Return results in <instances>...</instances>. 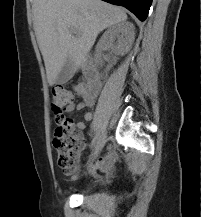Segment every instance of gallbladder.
I'll return each mask as SVG.
<instances>
[{
    "mask_svg": "<svg viewBox=\"0 0 202 217\" xmlns=\"http://www.w3.org/2000/svg\"><path fill=\"white\" fill-rule=\"evenodd\" d=\"M76 67L72 58L68 57L57 75L55 84L63 85L67 83L75 74Z\"/></svg>",
    "mask_w": 202,
    "mask_h": 217,
    "instance_id": "gallbladder-1",
    "label": "gallbladder"
}]
</instances>
